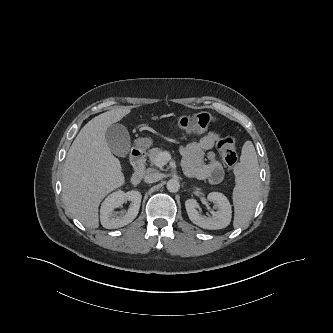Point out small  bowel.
I'll return each instance as SVG.
<instances>
[{
  "label": "small bowel",
  "mask_w": 333,
  "mask_h": 333,
  "mask_svg": "<svg viewBox=\"0 0 333 333\" xmlns=\"http://www.w3.org/2000/svg\"><path fill=\"white\" fill-rule=\"evenodd\" d=\"M218 139L219 135L211 131L181 147L182 166L187 175L207 180L211 184L221 182L224 174L223 167L216 153L212 151ZM205 154L207 162L204 161Z\"/></svg>",
  "instance_id": "c3829d8e"
}]
</instances>
